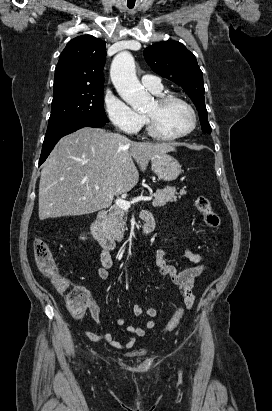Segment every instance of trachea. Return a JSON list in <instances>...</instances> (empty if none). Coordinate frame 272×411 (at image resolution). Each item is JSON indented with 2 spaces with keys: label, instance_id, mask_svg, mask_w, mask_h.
<instances>
[{
  "label": "trachea",
  "instance_id": "trachea-1",
  "mask_svg": "<svg viewBox=\"0 0 272 411\" xmlns=\"http://www.w3.org/2000/svg\"><path fill=\"white\" fill-rule=\"evenodd\" d=\"M130 9H132L133 8V6H128Z\"/></svg>",
  "mask_w": 272,
  "mask_h": 411
}]
</instances>
